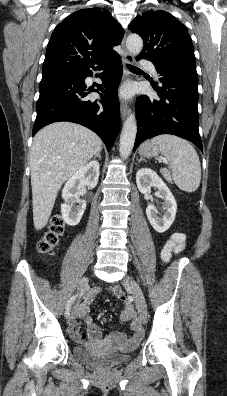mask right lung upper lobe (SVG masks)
Wrapping results in <instances>:
<instances>
[{
  "mask_svg": "<svg viewBox=\"0 0 227 396\" xmlns=\"http://www.w3.org/2000/svg\"><path fill=\"white\" fill-rule=\"evenodd\" d=\"M124 30L104 8L78 10L53 31L47 46L43 72L74 70L96 64L117 52Z\"/></svg>",
  "mask_w": 227,
  "mask_h": 396,
  "instance_id": "obj_1",
  "label": "right lung upper lobe"
}]
</instances>
